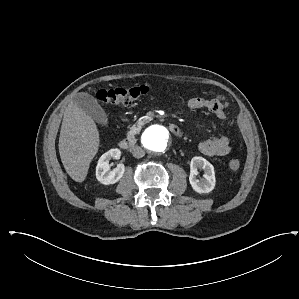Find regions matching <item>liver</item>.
<instances>
[{
	"mask_svg": "<svg viewBox=\"0 0 299 299\" xmlns=\"http://www.w3.org/2000/svg\"><path fill=\"white\" fill-rule=\"evenodd\" d=\"M100 144L93 119L71 101L64 112L59 137V153L68 175L83 182Z\"/></svg>",
	"mask_w": 299,
	"mask_h": 299,
	"instance_id": "1",
	"label": "liver"
}]
</instances>
